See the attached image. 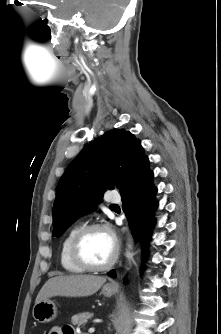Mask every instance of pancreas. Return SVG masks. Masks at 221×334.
I'll list each match as a JSON object with an SVG mask.
<instances>
[{"label":"pancreas","mask_w":221,"mask_h":334,"mask_svg":"<svg viewBox=\"0 0 221 334\" xmlns=\"http://www.w3.org/2000/svg\"><path fill=\"white\" fill-rule=\"evenodd\" d=\"M93 314L89 312L79 313L77 315L72 316L71 320L74 325L78 327L85 325L88 319L92 318Z\"/></svg>","instance_id":"cf45deb5"}]
</instances>
